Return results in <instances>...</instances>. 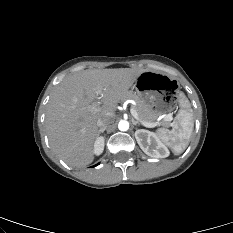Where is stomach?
Wrapping results in <instances>:
<instances>
[{
    "label": "stomach",
    "mask_w": 233,
    "mask_h": 233,
    "mask_svg": "<svg viewBox=\"0 0 233 233\" xmlns=\"http://www.w3.org/2000/svg\"><path fill=\"white\" fill-rule=\"evenodd\" d=\"M133 89L146 104L160 113L172 111L180 93V86L175 79L154 71L141 73Z\"/></svg>",
    "instance_id": "obj_1"
}]
</instances>
